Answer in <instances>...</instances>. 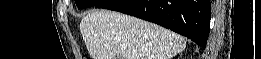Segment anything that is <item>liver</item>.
I'll use <instances>...</instances> for the list:
<instances>
[{
    "instance_id": "liver-1",
    "label": "liver",
    "mask_w": 261,
    "mask_h": 59,
    "mask_svg": "<svg viewBox=\"0 0 261 59\" xmlns=\"http://www.w3.org/2000/svg\"><path fill=\"white\" fill-rule=\"evenodd\" d=\"M80 31L92 59H171L186 47L170 30L110 10L83 17Z\"/></svg>"
}]
</instances>
